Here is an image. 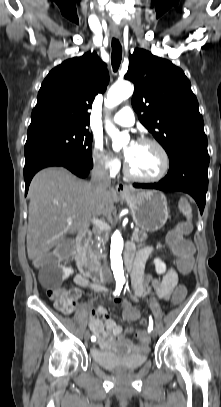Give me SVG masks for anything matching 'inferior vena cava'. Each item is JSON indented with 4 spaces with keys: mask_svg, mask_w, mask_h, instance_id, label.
Masks as SVG:
<instances>
[{
    "mask_svg": "<svg viewBox=\"0 0 221 407\" xmlns=\"http://www.w3.org/2000/svg\"><path fill=\"white\" fill-rule=\"evenodd\" d=\"M91 185L94 188L95 194L101 196L111 185V179L109 177V172L107 165L100 161L94 164V167L91 172ZM103 272L109 274L110 270L106 260H103Z\"/></svg>",
    "mask_w": 221,
    "mask_h": 407,
    "instance_id": "obj_1",
    "label": "inferior vena cava"
}]
</instances>
